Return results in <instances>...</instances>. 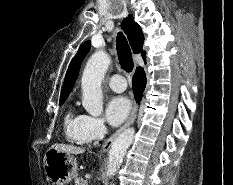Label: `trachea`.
<instances>
[{
	"label": "trachea",
	"instance_id": "obj_1",
	"mask_svg": "<svg viewBox=\"0 0 233 185\" xmlns=\"http://www.w3.org/2000/svg\"><path fill=\"white\" fill-rule=\"evenodd\" d=\"M116 49L121 68L128 73L132 72L134 63L132 59L131 49L125 36L122 33H118L117 35Z\"/></svg>",
	"mask_w": 233,
	"mask_h": 185
}]
</instances>
